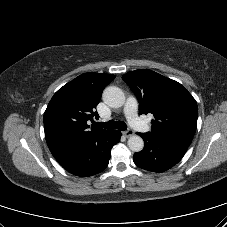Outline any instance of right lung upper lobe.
<instances>
[{"mask_svg": "<svg viewBox=\"0 0 227 227\" xmlns=\"http://www.w3.org/2000/svg\"><path fill=\"white\" fill-rule=\"evenodd\" d=\"M114 78L112 74L85 73L54 94L44 113L45 138L51 152L108 131L89 129L87 122L99 117L94 109Z\"/></svg>", "mask_w": 227, "mask_h": 227, "instance_id": "right-lung-upper-lobe-1", "label": "right lung upper lobe"}]
</instances>
